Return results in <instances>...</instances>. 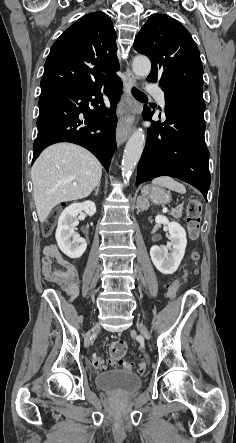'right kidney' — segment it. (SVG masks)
Returning a JSON list of instances; mask_svg holds the SVG:
<instances>
[{
	"label": "right kidney",
	"mask_w": 236,
	"mask_h": 443,
	"mask_svg": "<svg viewBox=\"0 0 236 443\" xmlns=\"http://www.w3.org/2000/svg\"><path fill=\"white\" fill-rule=\"evenodd\" d=\"M84 211L89 216L96 213V205L92 201L73 203L63 210L58 220L56 241L60 250L72 259L80 258L87 248L84 238L75 234L74 229L79 224L77 216Z\"/></svg>",
	"instance_id": "right-kidney-1"
}]
</instances>
